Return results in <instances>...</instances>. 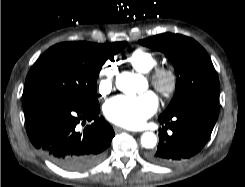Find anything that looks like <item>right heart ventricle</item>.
Masks as SVG:
<instances>
[{"instance_id": "obj_1", "label": "right heart ventricle", "mask_w": 245, "mask_h": 187, "mask_svg": "<svg viewBox=\"0 0 245 187\" xmlns=\"http://www.w3.org/2000/svg\"><path fill=\"white\" fill-rule=\"evenodd\" d=\"M128 63L140 73H149L158 64V57L145 48H135L127 55Z\"/></svg>"}]
</instances>
